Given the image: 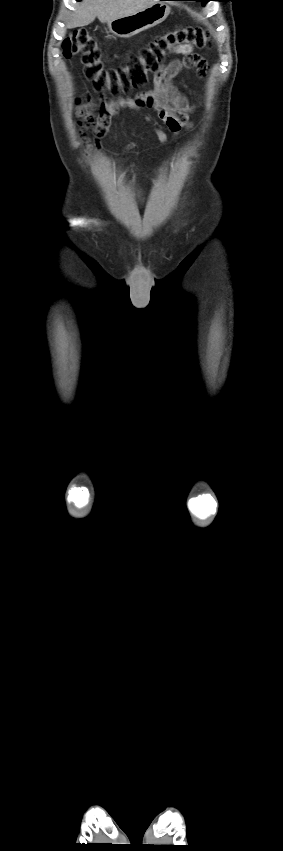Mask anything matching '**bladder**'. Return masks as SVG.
Here are the masks:
<instances>
[{
  "label": "bladder",
  "instance_id": "31cf9c89",
  "mask_svg": "<svg viewBox=\"0 0 283 851\" xmlns=\"http://www.w3.org/2000/svg\"><path fill=\"white\" fill-rule=\"evenodd\" d=\"M130 190H131L132 192H135V191H136V188H135L133 185H130Z\"/></svg>",
  "mask_w": 283,
  "mask_h": 851
}]
</instances>
